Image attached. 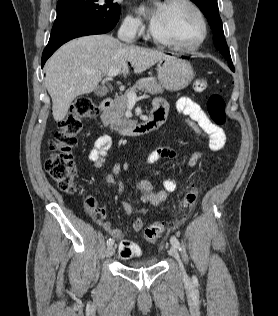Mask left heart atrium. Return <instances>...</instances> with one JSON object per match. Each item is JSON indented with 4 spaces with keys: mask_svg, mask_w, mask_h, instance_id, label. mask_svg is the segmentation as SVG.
Listing matches in <instances>:
<instances>
[{
    "mask_svg": "<svg viewBox=\"0 0 278 316\" xmlns=\"http://www.w3.org/2000/svg\"><path fill=\"white\" fill-rule=\"evenodd\" d=\"M163 8H164V4H158L154 8V10L152 11L151 16H150L151 26H153L155 24L161 11L163 10Z\"/></svg>",
    "mask_w": 278,
    "mask_h": 316,
    "instance_id": "1",
    "label": "left heart atrium"
}]
</instances>
